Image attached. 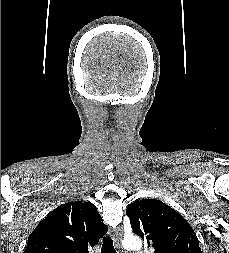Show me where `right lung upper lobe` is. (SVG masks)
<instances>
[{
	"mask_svg": "<svg viewBox=\"0 0 229 253\" xmlns=\"http://www.w3.org/2000/svg\"><path fill=\"white\" fill-rule=\"evenodd\" d=\"M107 230L92 203L68 202L38 224L24 253H89Z\"/></svg>",
	"mask_w": 229,
	"mask_h": 253,
	"instance_id": "cb5924a9",
	"label": "right lung upper lobe"
}]
</instances>
